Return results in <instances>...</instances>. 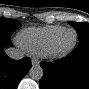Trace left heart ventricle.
Returning <instances> with one entry per match:
<instances>
[{
  "mask_svg": "<svg viewBox=\"0 0 89 89\" xmlns=\"http://www.w3.org/2000/svg\"><path fill=\"white\" fill-rule=\"evenodd\" d=\"M73 40V33L71 32H65L59 36V38L56 40L54 47L57 50L63 49L67 47Z\"/></svg>",
  "mask_w": 89,
  "mask_h": 89,
  "instance_id": "left-heart-ventricle-1",
  "label": "left heart ventricle"
}]
</instances>
